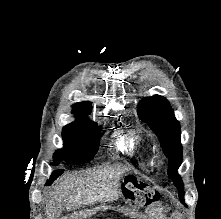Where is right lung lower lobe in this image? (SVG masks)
<instances>
[{
	"mask_svg": "<svg viewBox=\"0 0 221 219\" xmlns=\"http://www.w3.org/2000/svg\"><path fill=\"white\" fill-rule=\"evenodd\" d=\"M62 172H63L62 170L55 171V172L52 174L51 179L48 180L46 184H47V185H50V184L53 182V180H55L59 175L62 174Z\"/></svg>",
	"mask_w": 221,
	"mask_h": 219,
	"instance_id": "98d812e1",
	"label": "right lung lower lobe"
}]
</instances>
